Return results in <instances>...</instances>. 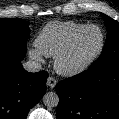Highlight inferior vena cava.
Wrapping results in <instances>:
<instances>
[{"instance_id": "1", "label": "inferior vena cava", "mask_w": 119, "mask_h": 119, "mask_svg": "<svg viewBox=\"0 0 119 119\" xmlns=\"http://www.w3.org/2000/svg\"><path fill=\"white\" fill-rule=\"evenodd\" d=\"M23 67L28 72H39L41 70V64L39 62L29 60L23 63Z\"/></svg>"}]
</instances>
